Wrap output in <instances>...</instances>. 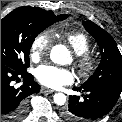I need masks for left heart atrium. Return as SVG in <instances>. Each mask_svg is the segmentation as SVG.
Returning <instances> with one entry per match:
<instances>
[{"label":"left heart atrium","instance_id":"left-heart-atrium-1","mask_svg":"<svg viewBox=\"0 0 122 122\" xmlns=\"http://www.w3.org/2000/svg\"><path fill=\"white\" fill-rule=\"evenodd\" d=\"M35 76L42 85L53 89L71 84L74 80L71 71L51 64L39 66L35 71Z\"/></svg>","mask_w":122,"mask_h":122}]
</instances>
